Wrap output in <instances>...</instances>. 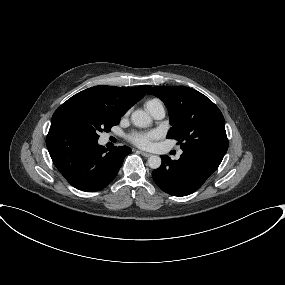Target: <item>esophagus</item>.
I'll return each instance as SVG.
<instances>
[{
    "instance_id": "esophagus-1",
    "label": "esophagus",
    "mask_w": 285,
    "mask_h": 285,
    "mask_svg": "<svg viewBox=\"0 0 285 285\" xmlns=\"http://www.w3.org/2000/svg\"><path fill=\"white\" fill-rule=\"evenodd\" d=\"M139 153L141 155H143L144 157H150L151 156V153H148V152L140 151Z\"/></svg>"
}]
</instances>
